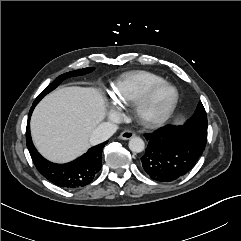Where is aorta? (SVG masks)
Returning a JSON list of instances; mask_svg holds the SVG:
<instances>
[{"label": "aorta", "instance_id": "1", "mask_svg": "<svg viewBox=\"0 0 241 241\" xmlns=\"http://www.w3.org/2000/svg\"><path fill=\"white\" fill-rule=\"evenodd\" d=\"M128 146L132 152L140 153L144 150L145 143L140 137H133L130 139Z\"/></svg>", "mask_w": 241, "mask_h": 241}]
</instances>
